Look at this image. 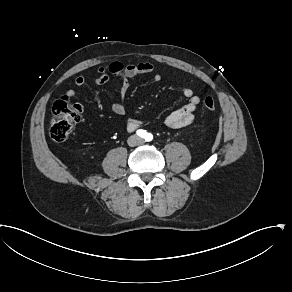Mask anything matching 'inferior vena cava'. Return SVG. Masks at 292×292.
Wrapping results in <instances>:
<instances>
[{
    "mask_svg": "<svg viewBox=\"0 0 292 292\" xmlns=\"http://www.w3.org/2000/svg\"><path fill=\"white\" fill-rule=\"evenodd\" d=\"M134 137H135V139L140 140L141 142H144V140L142 138H140L138 136H134Z\"/></svg>",
    "mask_w": 292,
    "mask_h": 292,
    "instance_id": "inferior-vena-cava-1",
    "label": "inferior vena cava"
}]
</instances>
